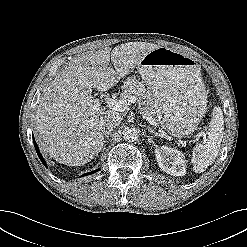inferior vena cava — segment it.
<instances>
[{
    "mask_svg": "<svg viewBox=\"0 0 247 247\" xmlns=\"http://www.w3.org/2000/svg\"><path fill=\"white\" fill-rule=\"evenodd\" d=\"M122 121V117L117 112H110L105 116L104 125L109 128L119 126Z\"/></svg>",
    "mask_w": 247,
    "mask_h": 247,
    "instance_id": "1",
    "label": "inferior vena cava"
}]
</instances>
